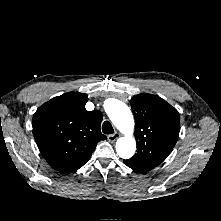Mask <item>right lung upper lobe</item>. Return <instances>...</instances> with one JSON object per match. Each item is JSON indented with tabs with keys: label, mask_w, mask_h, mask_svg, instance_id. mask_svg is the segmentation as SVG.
I'll return each instance as SVG.
<instances>
[{
	"label": "right lung upper lobe",
	"mask_w": 221,
	"mask_h": 221,
	"mask_svg": "<svg viewBox=\"0 0 221 221\" xmlns=\"http://www.w3.org/2000/svg\"><path fill=\"white\" fill-rule=\"evenodd\" d=\"M86 94L69 92L55 97L37 109L33 134L38 148L55 170L69 174L91 157L97 143L106 136L100 131L102 114L87 111Z\"/></svg>",
	"instance_id": "1"
}]
</instances>
